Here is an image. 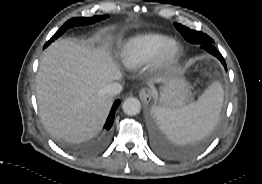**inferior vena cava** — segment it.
I'll use <instances>...</instances> for the list:
<instances>
[{"label":"inferior vena cava","mask_w":262,"mask_h":184,"mask_svg":"<svg viewBox=\"0 0 262 184\" xmlns=\"http://www.w3.org/2000/svg\"><path fill=\"white\" fill-rule=\"evenodd\" d=\"M121 91H122V86L117 82H112L108 84L105 88V92L112 96L119 94Z\"/></svg>","instance_id":"602c4592"}]
</instances>
